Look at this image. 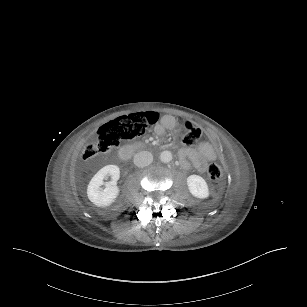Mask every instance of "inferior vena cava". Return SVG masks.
<instances>
[{
    "label": "inferior vena cava",
    "mask_w": 307,
    "mask_h": 307,
    "mask_svg": "<svg viewBox=\"0 0 307 307\" xmlns=\"http://www.w3.org/2000/svg\"><path fill=\"white\" fill-rule=\"evenodd\" d=\"M153 161V156L150 152L141 151L135 154L133 158V163L138 168H144Z\"/></svg>",
    "instance_id": "602c4592"
}]
</instances>
